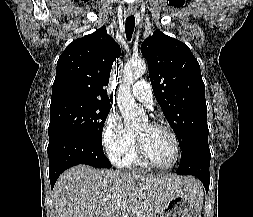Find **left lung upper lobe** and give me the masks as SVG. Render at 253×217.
Returning <instances> with one entry per match:
<instances>
[{
  "label": "left lung upper lobe",
  "mask_w": 253,
  "mask_h": 217,
  "mask_svg": "<svg viewBox=\"0 0 253 217\" xmlns=\"http://www.w3.org/2000/svg\"><path fill=\"white\" fill-rule=\"evenodd\" d=\"M155 97L180 149L193 139L208 140L205 86L189 47L156 30L141 45Z\"/></svg>",
  "instance_id": "left-lung-upper-lobe-1"
}]
</instances>
